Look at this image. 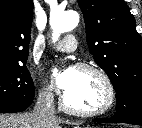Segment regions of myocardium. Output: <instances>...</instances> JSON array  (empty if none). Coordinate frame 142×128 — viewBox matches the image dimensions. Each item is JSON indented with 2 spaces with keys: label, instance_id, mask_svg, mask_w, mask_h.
Wrapping results in <instances>:
<instances>
[{
  "label": "myocardium",
  "instance_id": "myocardium-1",
  "mask_svg": "<svg viewBox=\"0 0 142 128\" xmlns=\"http://www.w3.org/2000/svg\"><path fill=\"white\" fill-rule=\"evenodd\" d=\"M77 70L79 71H86V72H92L97 74L102 81L105 84L106 90H107V98L104 103V105L98 109L95 110H82L79 108H75L71 105H69L65 99V95L62 96L60 99V105L61 107L72 114L83 116V117H95L100 116L105 113H107L111 108L114 106L115 100H116V92L113 85V82L109 75L99 66L88 64V63H79L76 66Z\"/></svg>",
  "mask_w": 142,
  "mask_h": 128
}]
</instances>
